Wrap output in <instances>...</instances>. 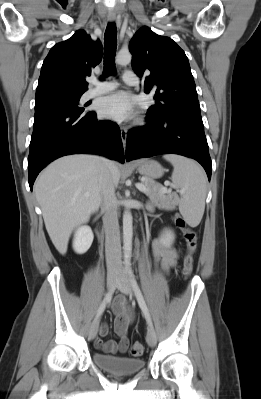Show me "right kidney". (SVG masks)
Returning <instances> with one entry per match:
<instances>
[{
    "instance_id": "1",
    "label": "right kidney",
    "mask_w": 261,
    "mask_h": 399,
    "mask_svg": "<svg viewBox=\"0 0 261 399\" xmlns=\"http://www.w3.org/2000/svg\"><path fill=\"white\" fill-rule=\"evenodd\" d=\"M88 218H84L82 220L83 223H86ZM94 239L93 232L91 228L87 225L79 226L74 234L73 239V249L77 254H84L90 248Z\"/></svg>"
}]
</instances>
